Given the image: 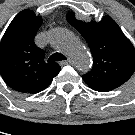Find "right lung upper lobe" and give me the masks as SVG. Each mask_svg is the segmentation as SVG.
<instances>
[{
    "label": "right lung upper lobe",
    "instance_id": "cb5924a9",
    "mask_svg": "<svg viewBox=\"0 0 135 135\" xmlns=\"http://www.w3.org/2000/svg\"><path fill=\"white\" fill-rule=\"evenodd\" d=\"M42 18L29 9L21 11L8 26L0 43V74L5 83L21 93H38L58 75L57 63H46L44 51L34 43Z\"/></svg>",
    "mask_w": 135,
    "mask_h": 135
}]
</instances>
